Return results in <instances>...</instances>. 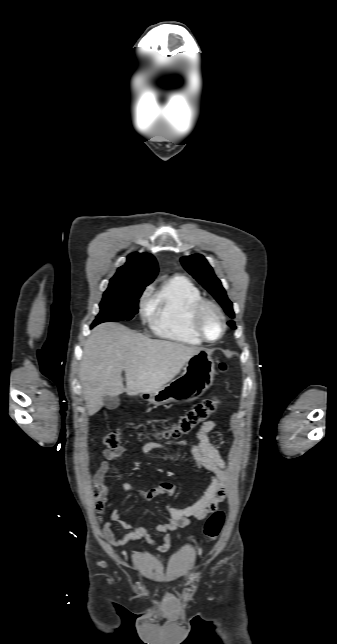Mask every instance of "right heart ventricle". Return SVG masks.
I'll list each match as a JSON object with an SVG mask.
<instances>
[{"instance_id":"right-heart-ventricle-1","label":"right heart ventricle","mask_w":337,"mask_h":644,"mask_svg":"<svg viewBox=\"0 0 337 644\" xmlns=\"http://www.w3.org/2000/svg\"><path fill=\"white\" fill-rule=\"evenodd\" d=\"M200 299V289L186 276L177 274L168 278L149 302L151 329L165 339L201 345L203 341L191 327L192 310Z\"/></svg>"}]
</instances>
